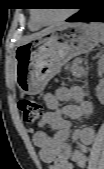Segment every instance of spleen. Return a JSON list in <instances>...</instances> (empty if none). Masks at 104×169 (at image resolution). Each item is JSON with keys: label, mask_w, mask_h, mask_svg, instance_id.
I'll use <instances>...</instances> for the list:
<instances>
[{"label": "spleen", "mask_w": 104, "mask_h": 169, "mask_svg": "<svg viewBox=\"0 0 104 169\" xmlns=\"http://www.w3.org/2000/svg\"><path fill=\"white\" fill-rule=\"evenodd\" d=\"M91 26H93V27H96V28H98V29H100V30H102L103 31V26L102 25H99V24H91Z\"/></svg>", "instance_id": "1"}]
</instances>
